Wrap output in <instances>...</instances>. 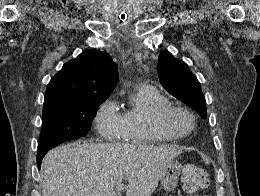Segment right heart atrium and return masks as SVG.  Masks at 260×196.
Wrapping results in <instances>:
<instances>
[{
	"instance_id": "d8ad5b80",
	"label": "right heart atrium",
	"mask_w": 260,
	"mask_h": 196,
	"mask_svg": "<svg viewBox=\"0 0 260 196\" xmlns=\"http://www.w3.org/2000/svg\"><path fill=\"white\" fill-rule=\"evenodd\" d=\"M95 122L102 138L100 143H109L115 132L122 127V118L113 100L106 99L99 105L95 114ZM128 192H144V190H128Z\"/></svg>"
}]
</instances>
